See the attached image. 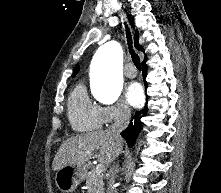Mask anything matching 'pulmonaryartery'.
<instances>
[{"instance_id": "1", "label": "pulmonary artery", "mask_w": 221, "mask_h": 193, "mask_svg": "<svg viewBox=\"0 0 221 193\" xmlns=\"http://www.w3.org/2000/svg\"><path fill=\"white\" fill-rule=\"evenodd\" d=\"M124 75L127 78H135L137 76V71L132 64H128L124 69Z\"/></svg>"}]
</instances>
